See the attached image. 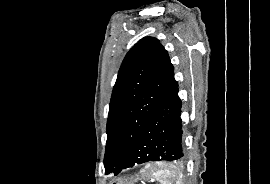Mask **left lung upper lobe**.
<instances>
[{"instance_id":"left-lung-upper-lobe-1","label":"left lung upper lobe","mask_w":270,"mask_h":184,"mask_svg":"<svg viewBox=\"0 0 270 184\" xmlns=\"http://www.w3.org/2000/svg\"><path fill=\"white\" fill-rule=\"evenodd\" d=\"M174 80V67L158 39L144 37L129 50L110 101L105 174L121 168Z\"/></svg>"}]
</instances>
